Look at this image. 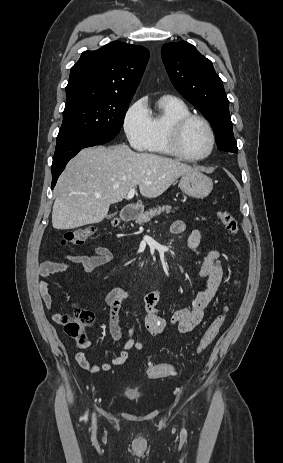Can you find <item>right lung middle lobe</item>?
<instances>
[{"label": "right lung middle lobe", "instance_id": "obj_1", "mask_svg": "<svg viewBox=\"0 0 283 463\" xmlns=\"http://www.w3.org/2000/svg\"><path fill=\"white\" fill-rule=\"evenodd\" d=\"M131 98L85 91L66 96L57 143L81 136H116L124 123Z\"/></svg>", "mask_w": 283, "mask_h": 463}]
</instances>
